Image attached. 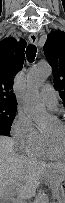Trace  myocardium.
I'll return each instance as SVG.
<instances>
[{
  "label": "myocardium",
  "instance_id": "myocardium-1",
  "mask_svg": "<svg viewBox=\"0 0 65 203\" xmlns=\"http://www.w3.org/2000/svg\"><path fill=\"white\" fill-rule=\"evenodd\" d=\"M62 125V128H63V134H64V137H63V144L65 145V123H61ZM46 139L48 141V144H49V147L52 151L53 154L57 155V156H64L65 154V150L64 151H61L60 150V147H59V143L57 140L55 139H51L50 137L46 136Z\"/></svg>",
  "mask_w": 65,
  "mask_h": 203
}]
</instances>
